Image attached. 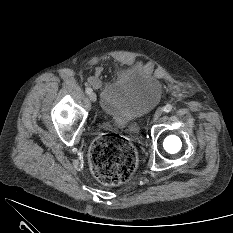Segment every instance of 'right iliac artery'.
<instances>
[{"mask_svg":"<svg viewBox=\"0 0 233 233\" xmlns=\"http://www.w3.org/2000/svg\"><path fill=\"white\" fill-rule=\"evenodd\" d=\"M85 92H86L87 94H90V93H92V89H91L90 87H88V88H86Z\"/></svg>","mask_w":233,"mask_h":233,"instance_id":"82829eb1","label":"right iliac artery"}]
</instances>
